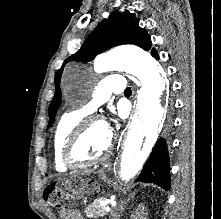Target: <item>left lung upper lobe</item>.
Instances as JSON below:
<instances>
[{
  "label": "left lung upper lobe",
  "mask_w": 221,
  "mask_h": 219,
  "mask_svg": "<svg viewBox=\"0 0 221 219\" xmlns=\"http://www.w3.org/2000/svg\"><path fill=\"white\" fill-rule=\"evenodd\" d=\"M122 44H134L146 51L150 50L152 45L147 31L139 26V19L135 18V14L128 10L111 13L108 19L103 20L88 36L82 48L67 58L57 71L55 75V97L49 107V127L62 101L60 79L64 65L71 61H91L96 55Z\"/></svg>",
  "instance_id": "obj_1"
}]
</instances>
